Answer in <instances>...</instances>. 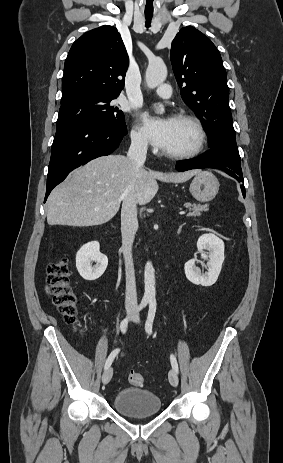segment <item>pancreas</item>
<instances>
[{"instance_id":"cf45deb5","label":"pancreas","mask_w":283,"mask_h":463,"mask_svg":"<svg viewBox=\"0 0 283 463\" xmlns=\"http://www.w3.org/2000/svg\"><path fill=\"white\" fill-rule=\"evenodd\" d=\"M184 206L189 209L187 216L200 217L202 212L208 211V205L185 203Z\"/></svg>"}]
</instances>
